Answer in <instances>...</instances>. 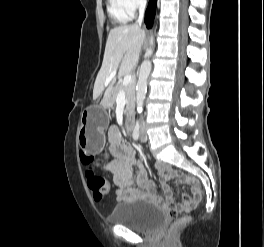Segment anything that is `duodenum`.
Instances as JSON below:
<instances>
[{
    "label": "duodenum",
    "instance_id": "410a0bca",
    "mask_svg": "<svg viewBox=\"0 0 264 247\" xmlns=\"http://www.w3.org/2000/svg\"><path fill=\"white\" fill-rule=\"evenodd\" d=\"M134 123V115L132 112H129L126 116V126L131 129Z\"/></svg>",
    "mask_w": 264,
    "mask_h": 247
}]
</instances>
